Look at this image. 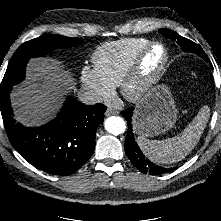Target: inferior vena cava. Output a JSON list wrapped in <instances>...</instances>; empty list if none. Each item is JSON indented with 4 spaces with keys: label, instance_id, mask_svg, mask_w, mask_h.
I'll list each match as a JSON object with an SVG mask.
<instances>
[{
    "label": "inferior vena cava",
    "instance_id": "1",
    "mask_svg": "<svg viewBox=\"0 0 221 221\" xmlns=\"http://www.w3.org/2000/svg\"><path fill=\"white\" fill-rule=\"evenodd\" d=\"M79 100L86 105L102 102V97L94 90L83 88L78 93Z\"/></svg>",
    "mask_w": 221,
    "mask_h": 221
}]
</instances>
